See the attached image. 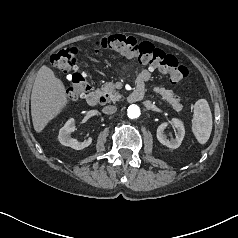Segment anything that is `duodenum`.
Segmentation results:
<instances>
[{
  "label": "duodenum",
  "mask_w": 238,
  "mask_h": 238,
  "mask_svg": "<svg viewBox=\"0 0 238 238\" xmlns=\"http://www.w3.org/2000/svg\"><path fill=\"white\" fill-rule=\"evenodd\" d=\"M144 96V87L136 86V88L127 96V101L130 103L140 101ZM106 99L103 94L99 92H91L87 96V103L91 106L105 103Z\"/></svg>",
  "instance_id": "duodenum-1"
}]
</instances>
